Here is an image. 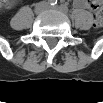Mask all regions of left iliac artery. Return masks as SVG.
<instances>
[{
    "mask_svg": "<svg viewBox=\"0 0 103 103\" xmlns=\"http://www.w3.org/2000/svg\"><path fill=\"white\" fill-rule=\"evenodd\" d=\"M60 9H61L63 12H65V13L68 12V7H67L66 4H61V5H60Z\"/></svg>",
    "mask_w": 103,
    "mask_h": 103,
    "instance_id": "left-iliac-artery-1",
    "label": "left iliac artery"
}]
</instances>
